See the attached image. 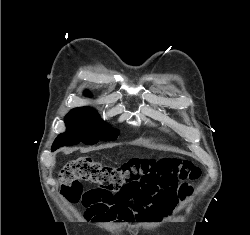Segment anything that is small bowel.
<instances>
[{
    "mask_svg": "<svg viewBox=\"0 0 250 235\" xmlns=\"http://www.w3.org/2000/svg\"><path fill=\"white\" fill-rule=\"evenodd\" d=\"M177 187L157 189L153 192L139 191L133 198L137 213L147 222H157L171 215L180 205Z\"/></svg>",
    "mask_w": 250,
    "mask_h": 235,
    "instance_id": "1",
    "label": "small bowel"
}]
</instances>
